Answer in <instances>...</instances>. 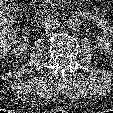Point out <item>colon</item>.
I'll return each instance as SVG.
<instances>
[{"mask_svg": "<svg viewBox=\"0 0 113 113\" xmlns=\"http://www.w3.org/2000/svg\"><path fill=\"white\" fill-rule=\"evenodd\" d=\"M12 1L15 0H0V12ZM14 37L13 29L7 23L0 20V57H3L10 50Z\"/></svg>", "mask_w": 113, "mask_h": 113, "instance_id": "obj_1", "label": "colon"}]
</instances>
